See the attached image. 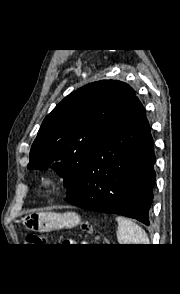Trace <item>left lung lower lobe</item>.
<instances>
[{"instance_id":"0a47b994","label":"left lung lower lobe","mask_w":180,"mask_h":294,"mask_svg":"<svg viewBox=\"0 0 180 294\" xmlns=\"http://www.w3.org/2000/svg\"><path fill=\"white\" fill-rule=\"evenodd\" d=\"M155 155L138 98L93 155L79 190L65 200L83 209L128 216L149 225Z\"/></svg>"}]
</instances>
